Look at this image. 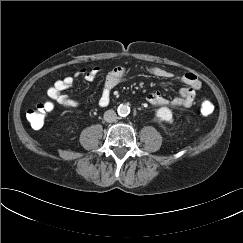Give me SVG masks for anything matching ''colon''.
<instances>
[{
    "label": "colon",
    "mask_w": 243,
    "mask_h": 243,
    "mask_svg": "<svg viewBox=\"0 0 243 243\" xmlns=\"http://www.w3.org/2000/svg\"><path fill=\"white\" fill-rule=\"evenodd\" d=\"M53 107L54 106L51 102H46L30 109L27 112V120L30 125L35 129L42 128L45 122L46 114L50 112ZM200 112L204 116L211 115L214 112V105L210 101L205 100L200 104Z\"/></svg>",
    "instance_id": "obj_1"
}]
</instances>
